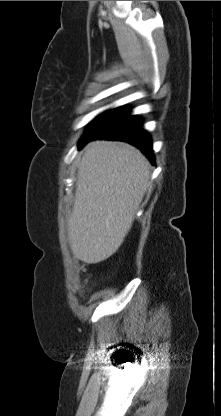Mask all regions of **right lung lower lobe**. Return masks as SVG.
<instances>
[{
  "label": "right lung lower lobe",
  "mask_w": 221,
  "mask_h": 416,
  "mask_svg": "<svg viewBox=\"0 0 221 416\" xmlns=\"http://www.w3.org/2000/svg\"><path fill=\"white\" fill-rule=\"evenodd\" d=\"M141 121L139 117L130 116L129 110L119 108L103 125L83 136L79 141V148L95 139L126 141L138 147L154 163L151 137L142 128Z\"/></svg>",
  "instance_id": "right-lung-lower-lobe-1"
}]
</instances>
